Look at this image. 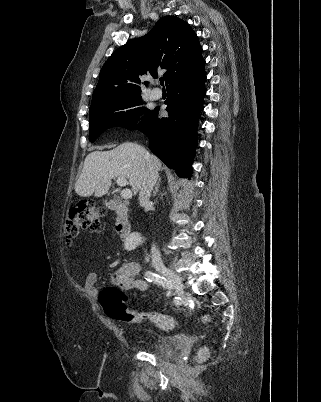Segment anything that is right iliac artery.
I'll return each instance as SVG.
<instances>
[{
  "label": "right iliac artery",
  "mask_w": 321,
  "mask_h": 402,
  "mask_svg": "<svg viewBox=\"0 0 321 402\" xmlns=\"http://www.w3.org/2000/svg\"><path fill=\"white\" fill-rule=\"evenodd\" d=\"M145 279L149 282H153L155 284L161 285L165 289H167V294L169 295L171 293L172 289V284L170 281H168L166 278L159 276L158 274L152 272V271H146L145 273ZM178 297L175 298V302L178 303Z\"/></svg>",
  "instance_id": "82829eb1"
}]
</instances>
